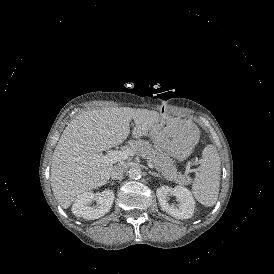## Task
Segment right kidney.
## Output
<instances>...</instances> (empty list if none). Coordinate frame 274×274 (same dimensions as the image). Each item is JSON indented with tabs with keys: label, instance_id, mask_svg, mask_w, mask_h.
Returning <instances> with one entry per match:
<instances>
[{
	"label": "right kidney",
	"instance_id": "obj_1",
	"mask_svg": "<svg viewBox=\"0 0 274 274\" xmlns=\"http://www.w3.org/2000/svg\"><path fill=\"white\" fill-rule=\"evenodd\" d=\"M115 198L114 191L105 189L99 193H87L79 197L73 204L72 212L77 217H83L86 220L99 219L108 213L112 207ZM94 200L100 204L98 208L89 206Z\"/></svg>",
	"mask_w": 274,
	"mask_h": 274
}]
</instances>
